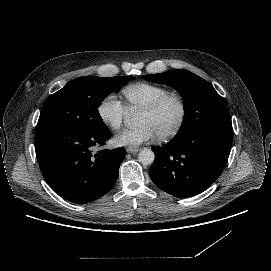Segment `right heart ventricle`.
I'll use <instances>...</instances> for the list:
<instances>
[{
	"label": "right heart ventricle",
	"mask_w": 271,
	"mask_h": 271,
	"mask_svg": "<svg viewBox=\"0 0 271 271\" xmlns=\"http://www.w3.org/2000/svg\"><path fill=\"white\" fill-rule=\"evenodd\" d=\"M167 93L169 89L165 86L148 82L129 84L122 89L129 111L142 110Z\"/></svg>",
	"instance_id": "1"
}]
</instances>
